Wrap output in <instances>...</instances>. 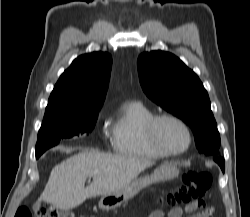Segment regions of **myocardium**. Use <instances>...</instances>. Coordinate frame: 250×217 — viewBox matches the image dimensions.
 <instances>
[{"instance_id":"1","label":"myocardium","mask_w":250,"mask_h":217,"mask_svg":"<svg viewBox=\"0 0 250 217\" xmlns=\"http://www.w3.org/2000/svg\"><path fill=\"white\" fill-rule=\"evenodd\" d=\"M164 121L173 122L184 130L187 136V144L183 149L172 150L168 148L165 144H163L159 136V126ZM145 130L147 138L151 145L166 156L181 155L190 148L192 143V134L188 125L182 119L172 114L162 113L154 115L146 123Z\"/></svg>"}]
</instances>
